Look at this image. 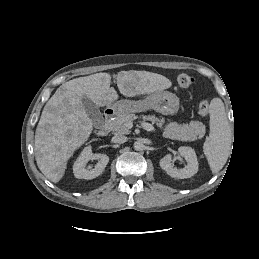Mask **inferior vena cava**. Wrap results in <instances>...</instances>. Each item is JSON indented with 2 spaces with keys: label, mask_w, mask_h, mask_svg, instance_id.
I'll use <instances>...</instances> for the list:
<instances>
[{
  "label": "inferior vena cava",
  "mask_w": 259,
  "mask_h": 259,
  "mask_svg": "<svg viewBox=\"0 0 259 259\" xmlns=\"http://www.w3.org/2000/svg\"><path fill=\"white\" fill-rule=\"evenodd\" d=\"M128 140V138L126 136L123 135H115L112 138V141L114 143H125Z\"/></svg>",
  "instance_id": "602c4592"
}]
</instances>
